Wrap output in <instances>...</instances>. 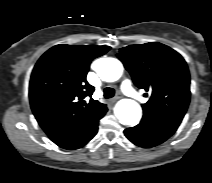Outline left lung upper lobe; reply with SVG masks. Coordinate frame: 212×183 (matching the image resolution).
<instances>
[{"instance_id":"5c2ea615","label":"left lung upper lobe","mask_w":212,"mask_h":183,"mask_svg":"<svg viewBox=\"0 0 212 183\" xmlns=\"http://www.w3.org/2000/svg\"><path fill=\"white\" fill-rule=\"evenodd\" d=\"M117 57L135 85L150 93L149 101L142 104L144 116L179 126L190 100V76L183 57L158 42L121 48Z\"/></svg>"}]
</instances>
